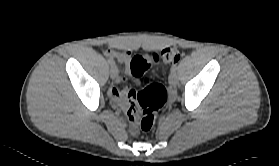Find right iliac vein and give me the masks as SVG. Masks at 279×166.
Returning <instances> with one entry per match:
<instances>
[{"label": "right iliac vein", "mask_w": 279, "mask_h": 166, "mask_svg": "<svg viewBox=\"0 0 279 166\" xmlns=\"http://www.w3.org/2000/svg\"><path fill=\"white\" fill-rule=\"evenodd\" d=\"M117 76H118V70L115 66H112L110 69V77L112 79H115V78H117Z\"/></svg>", "instance_id": "1"}]
</instances>
